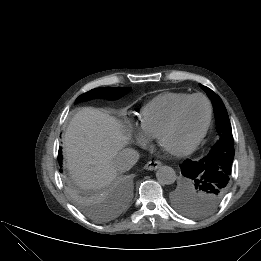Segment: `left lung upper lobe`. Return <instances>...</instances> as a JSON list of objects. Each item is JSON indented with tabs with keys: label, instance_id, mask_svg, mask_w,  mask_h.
Returning a JSON list of instances; mask_svg holds the SVG:
<instances>
[{
	"label": "left lung upper lobe",
	"instance_id": "obj_1",
	"mask_svg": "<svg viewBox=\"0 0 261 261\" xmlns=\"http://www.w3.org/2000/svg\"><path fill=\"white\" fill-rule=\"evenodd\" d=\"M212 100L219 139L210 153L197 164L200 174L185 178L181 189L174 195L175 205L190 216H205L215 210L224 198L234 158V139L227 110L221 98L200 84Z\"/></svg>",
	"mask_w": 261,
	"mask_h": 261
}]
</instances>
